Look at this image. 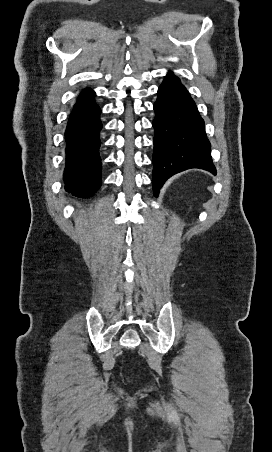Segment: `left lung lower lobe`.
<instances>
[{
	"label": "left lung lower lobe",
	"instance_id": "obj_1",
	"mask_svg": "<svg viewBox=\"0 0 272 452\" xmlns=\"http://www.w3.org/2000/svg\"><path fill=\"white\" fill-rule=\"evenodd\" d=\"M154 111V195L158 196L169 177L186 169L201 168L215 173L204 120L190 94L172 72L158 89Z\"/></svg>",
	"mask_w": 272,
	"mask_h": 452
}]
</instances>
